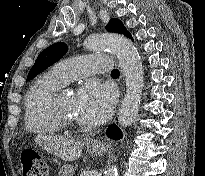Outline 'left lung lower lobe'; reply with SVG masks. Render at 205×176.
Listing matches in <instances>:
<instances>
[{
	"mask_svg": "<svg viewBox=\"0 0 205 176\" xmlns=\"http://www.w3.org/2000/svg\"><path fill=\"white\" fill-rule=\"evenodd\" d=\"M128 38H130L131 40H133V37L131 36V34L128 35ZM107 136H109L111 139H115V140H119L122 138V132L121 130L115 125L112 124L106 132Z\"/></svg>",
	"mask_w": 205,
	"mask_h": 176,
	"instance_id": "obj_1",
	"label": "left lung lower lobe"
}]
</instances>
